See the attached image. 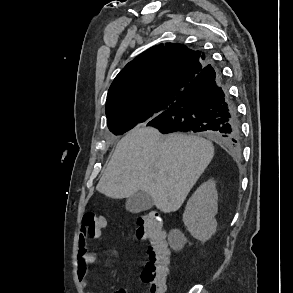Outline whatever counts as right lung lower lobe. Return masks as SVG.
<instances>
[{
    "mask_svg": "<svg viewBox=\"0 0 293 293\" xmlns=\"http://www.w3.org/2000/svg\"><path fill=\"white\" fill-rule=\"evenodd\" d=\"M147 125L162 133L205 132L229 146L240 141L236 107L222 87L220 72L211 64L187 85L172 106Z\"/></svg>",
    "mask_w": 293,
    "mask_h": 293,
    "instance_id": "98d812e1",
    "label": "right lung lower lobe"
}]
</instances>
